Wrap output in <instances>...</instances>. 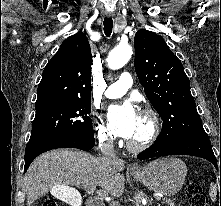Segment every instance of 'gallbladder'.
<instances>
[{"label":"gallbladder","instance_id":"bac80fb5","mask_svg":"<svg viewBox=\"0 0 221 206\" xmlns=\"http://www.w3.org/2000/svg\"><path fill=\"white\" fill-rule=\"evenodd\" d=\"M54 198H59L60 202H65V205L83 206V197L81 193H76V189H71V185H56L52 189Z\"/></svg>","mask_w":221,"mask_h":206}]
</instances>
